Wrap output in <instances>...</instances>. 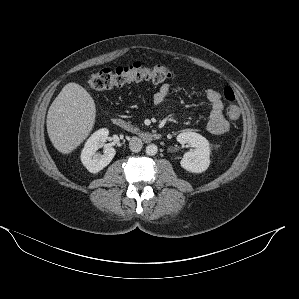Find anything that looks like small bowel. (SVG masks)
Segmentation results:
<instances>
[{"instance_id":"small-bowel-1","label":"small bowel","mask_w":299,"mask_h":299,"mask_svg":"<svg viewBox=\"0 0 299 299\" xmlns=\"http://www.w3.org/2000/svg\"><path fill=\"white\" fill-rule=\"evenodd\" d=\"M170 85L163 84L153 94V102L156 105L162 104L170 92ZM208 101L210 102L209 119L207 122V130L214 135H222L229 131L230 124L223 116V103L220 93L217 90L209 89L206 92Z\"/></svg>"}]
</instances>
